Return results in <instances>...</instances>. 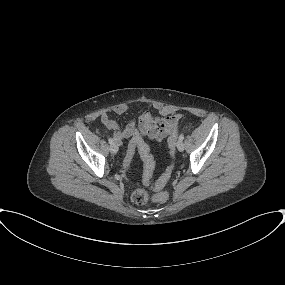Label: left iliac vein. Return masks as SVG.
Returning <instances> with one entry per match:
<instances>
[{
  "mask_svg": "<svg viewBox=\"0 0 285 285\" xmlns=\"http://www.w3.org/2000/svg\"><path fill=\"white\" fill-rule=\"evenodd\" d=\"M176 147L178 149V151L182 152L184 150V143L181 140L177 141Z\"/></svg>",
  "mask_w": 285,
  "mask_h": 285,
  "instance_id": "obj_1",
  "label": "left iliac vein"
}]
</instances>
